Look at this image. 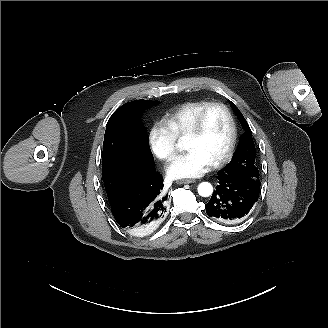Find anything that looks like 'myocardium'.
<instances>
[{
    "label": "myocardium",
    "instance_id": "f54148a6",
    "mask_svg": "<svg viewBox=\"0 0 328 328\" xmlns=\"http://www.w3.org/2000/svg\"><path fill=\"white\" fill-rule=\"evenodd\" d=\"M213 109H221L227 114V116L230 120L231 129H232L231 139H230L229 145H228L225 153L218 160H216L215 162L212 163V167L218 168V167H221L224 164H226L232 158V156L235 152L237 143H238L237 122H236V119H235L232 109L227 104L222 103V102L209 103L196 116L192 126L187 131L184 139L196 137L201 132L207 115Z\"/></svg>",
    "mask_w": 328,
    "mask_h": 328
}]
</instances>
